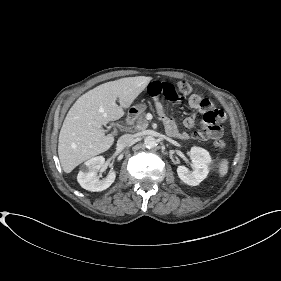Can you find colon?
<instances>
[{
    "instance_id": "obj_1",
    "label": "colon",
    "mask_w": 281,
    "mask_h": 281,
    "mask_svg": "<svg viewBox=\"0 0 281 281\" xmlns=\"http://www.w3.org/2000/svg\"><path fill=\"white\" fill-rule=\"evenodd\" d=\"M191 92V86L187 82H179L176 85L167 82H153L148 88V93L153 98H165L168 101L182 100ZM224 115L221 111L211 110L205 114V129L198 132L196 138L206 139L213 134H217L221 130V124ZM213 144L217 148H224L225 141L220 138H214Z\"/></svg>"
}]
</instances>
